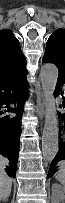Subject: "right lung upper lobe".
Wrapping results in <instances>:
<instances>
[{
    "mask_svg": "<svg viewBox=\"0 0 65 203\" xmlns=\"http://www.w3.org/2000/svg\"><path fill=\"white\" fill-rule=\"evenodd\" d=\"M19 41L9 30H0V81L27 74Z\"/></svg>",
    "mask_w": 65,
    "mask_h": 203,
    "instance_id": "cb5924a9",
    "label": "right lung upper lobe"
}]
</instances>
